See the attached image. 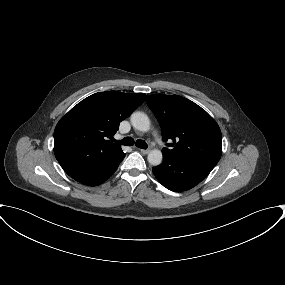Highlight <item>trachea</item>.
<instances>
[{
	"instance_id": "1",
	"label": "trachea",
	"mask_w": 285,
	"mask_h": 285,
	"mask_svg": "<svg viewBox=\"0 0 285 285\" xmlns=\"http://www.w3.org/2000/svg\"><path fill=\"white\" fill-rule=\"evenodd\" d=\"M118 143L121 145H125V146H133L134 145V139L132 137H125L121 141H118ZM135 145L141 149H146L148 147L147 143L141 139H138L136 141Z\"/></svg>"
}]
</instances>
